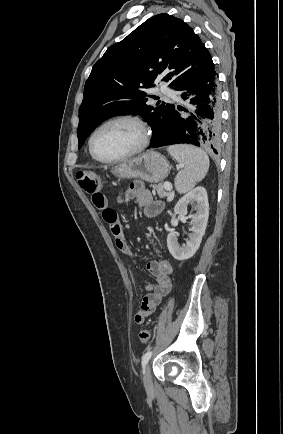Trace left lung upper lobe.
I'll use <instances>...</instances> for the list:
<instances>
[{
    "instance_id": "1",
    "label": "left lung upper lobe",
    "mask_w": 283,
    "mask_h": 434,
    "mask_svg": "<svg viewBox=\"0 0 283 434\" xmlns=\"http://www.w3.org/2000/svg\"><path fill=\"white\" fill-rule=\"evenodd\" d=\"M211 55L183 20L158 14L109 47L92 68L79 109V148L103 121L120 114H140L153 127L152 142L166 129L175 110L160 101L147 104L156 79L179 87L211 61Z\"/></svg>"
}]
</instances>
